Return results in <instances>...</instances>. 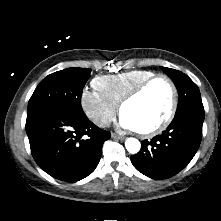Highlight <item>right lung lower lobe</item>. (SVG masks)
I'll use <instances>...</instances> for the list:
<instances>
[{
	"label": "right lung lower lobe",
	"instance_id": "98d812e1",
	"mask_svg": "<svg viewBox=\"0 0 221 221\" xmlns=\"http://www.w3.org/2000/svg\"><path fill=\"white\" fill-rule=\"evenodd\" d=\"M26 132L38 166L65 182H77L91 174L100 161L103 143L111 136L84 112L66 109L27 116Z\"/></svg>",
	"mask_w": 221,
	"mask_h": 221
}]
</instances>
